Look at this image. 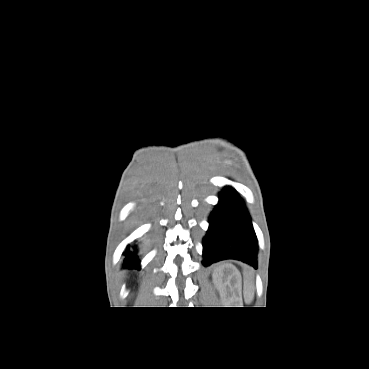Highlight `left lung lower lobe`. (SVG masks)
<instances>
[{
	"instance_id": "1",
	"label": "left lung lower lobe",
	"mask_w": 369,
	"mask_h": 369,
	"mask_svg": "<svg viewBox=\"0 0 369 369\" xmlns=\"http://www.w3.org/2000/svg\"><path fill=\"white\" fill-rule=\"evenodd\" d=\"M205 266L236 259L257 268V239L244 201L231 187L219 194V203L209 216L203 239Z\"/></svg>"
}]
</instances>
